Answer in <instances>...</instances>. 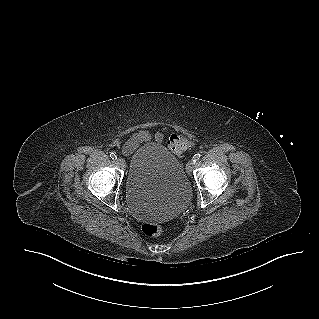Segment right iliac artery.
I'll return each instance as SVG.
<instances>
[{"mask_svg":"<svg viewBox=\"0 0 319 319\" xmlns=\"http://www.w3.org/2000/svg\"><path fill=\"white\" fill-rule=\"evenodd\" d=\"M110 157L114 160L117 159V155L114 152L110 153Z\"/></svg>","mask_w":319,"mask_h":319,"instance_id":"82829eb1","label":"right iliac artery"}]
</instances>
